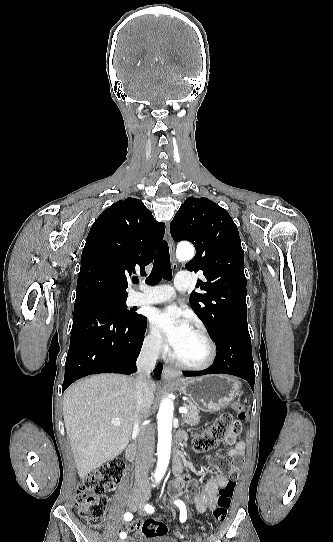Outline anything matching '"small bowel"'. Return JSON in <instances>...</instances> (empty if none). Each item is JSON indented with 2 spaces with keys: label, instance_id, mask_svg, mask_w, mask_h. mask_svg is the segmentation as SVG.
<instances>
[{
  "label": "small bowel",
  "instance_id": "1",
  "mask_svg": "<svg viewBox=\"0 0 333 542\" xmlns=\"http://www.w3.org/2000/svg\"><path fill=\"white\" fill-rule=\"evenodd\" d=\"M184 439H186L184 437ZM224 442L232 448L228 451V455L233 459L243 458L245 450V442L239 440L236 435L230 433L228 434ZM210 460L212 462H218L220 460V455L218 453H212L210 455ZM190 481V475L188 473H180L175 476V478L168 484L167 492L172 497H183L187 498L184 488ZM228 484L235 485L236 479L227 478L224 475L216 474L212 476L203 486L202 490L195 497V506L198 512H206L211 510L217 499L218 489L222 488ZM141 528V523L139 521L132 523H125L123 525V530L127 532L138 531ZM176 535L179 538H184V535L180 532H177ZM128 542H135V539L130 538Z\"/></svg>",
  "mask_w": 333,
  "mask_h": 542
}]
</instances>
